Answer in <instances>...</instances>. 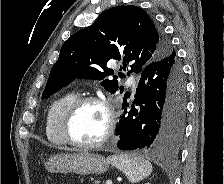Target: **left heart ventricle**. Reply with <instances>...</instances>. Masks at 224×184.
I'll return each mask as SVG.
<instances>
[{
	"label": "left heart ventricle",
	"instance_id": "obj_1",
	"mask_svg": "<svg viewBox=\"0 0 224 184\" xmlns=\"http://www.w3.org/2000/svg\"><path fill=\"white\" fill-rule=\"evenodd\" d=\"M107 114L105 109L95 103L82 105L71 124L73 138L82 143L98 141L105 133Z\"/></svg>",
	"mask_w": 224,
	"mask_h": 184
}]
</instances>
